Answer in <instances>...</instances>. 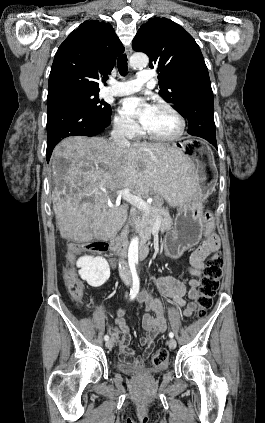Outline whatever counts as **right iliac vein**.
Returning a JSON list of instances; mask_svg holds the SVG:
<instances>
[{"mask_svg": "<svg viewBox=\"0 0 265 423\" xmlns=\"http://www.w3.org/2000/svg\"><path fill=\"white\" fill-rule=\"evenodd\" d=\"M126 284L128 285V284H129V282H126ZM105 345H106V347H107V348H112V347L114 346V339H113V338L108 339V340L106 341Z\"/></svg>", "mask_w": 265, "mask_h": 423, "instance_id": "1", "label": "right iliac vein"}]
</instances>
